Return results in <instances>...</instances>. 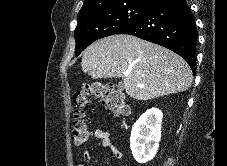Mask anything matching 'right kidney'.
Instances as JSON below:
<instances>
[{
    "mask_svg": "<svg viewBox=\"0 0 227 166\" xmlns=\"http://www.w3.org/2000/svg\"><path fill=\"white\" fill-rule=\"evenodd\" d=\"M162 118V111L151 108L132 127L130 147L138 163H147L155 157L161 139Z\"/></svg>",
    "mask_w": 227,
    "mask_h": 166,
    "instance_id": "obj_1",
    "label": "right kidney"
}]
</instances>
